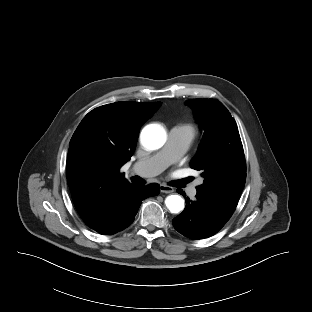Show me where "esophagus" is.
I'll return each mask as SVG.
<instances>
[{"label": "esophagus", "mask_w": 312, "mask_h": 312, "mask_svg": "<svg viewBox=\"0 0 312 312\" xmlns=\"http://www.w3.org/2000/svg\"><path fill=\"white\" fill-rule=\"evenodd\" d=\"M160 191L162 193H167L168 194V193L174 192V189L171 186H168V185H165V184H161L160 185Z\"/></svg>", "instance_id": "1"}]
</instances>
